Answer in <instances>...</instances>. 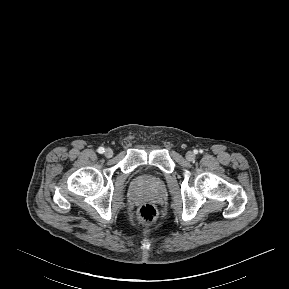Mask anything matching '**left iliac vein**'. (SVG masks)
I'll list each match as a JSON object with an SVG mask.
<instances>
[{
  "instance_id": "left-iliac-vein-1",
  "label": "left iliac vein",
  "mask_w": 289,
  "mask_h": 289,
  "mask_svg": "<svg viewBox=\"0 0 289 289\" xmlns=\"http://www.w3.org/2000/svg\"><path fill=\"white\" fill-rule=\"evenodd\" d=\"M194 158H195V155H194L193 152L188 151V152L186 153V159H187L188 161H192Z\"/></svg>"
}]
</instances>
